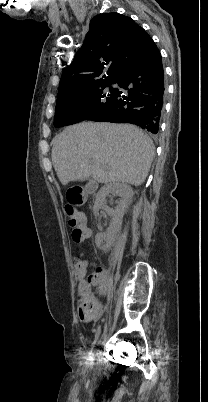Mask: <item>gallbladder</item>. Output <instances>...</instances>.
<instances>
[{
    "label": "gallbladder",
    "mask_w": 208,
    "mask_h": 402,
    "mask_svg": "<svg viewBox=\"0 0 208 402\" xmlns=\"http://www.w3.org/2000/svg\"><path fill=\"white\" fill-rule=\"evenodd\" d=\"M86 189L87 190H96L97 189V182L96 181H87L86 182Z\"/></svg>",
    "instance_id": "obj_1"
}]
</instances>
